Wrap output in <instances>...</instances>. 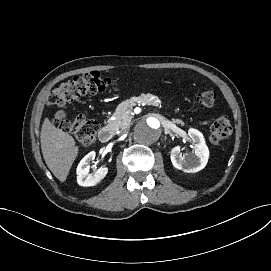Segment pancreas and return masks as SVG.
Listing matches in <instances>:
<instances>
[{"instance_id": "1", "label": "pancreas", "mask_w": 271, "mask_h": 271, "mask_svg": "<svg viewBox=\"0 0 271 271\" xmlns=\"http://www.w3.org/2000/svg\"><path fill=\"white\" fill-rule=\"evenodd\" d=\"M132 103L134 105L141 104H151L156 105L158 103V98L154 95H141L134 96L132 98ZM131 106L129 102H122L116 108L113 114L114 120H108V126L112 127L114 130L125 129L129 126L132 116L129 115L131 112ZM174 123L181 124L182 122L178 119L173 120Z\"/></svg>"}]
</instances>
